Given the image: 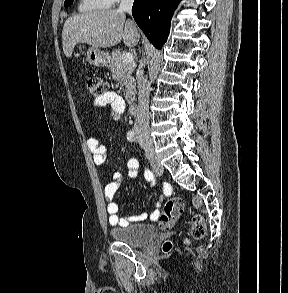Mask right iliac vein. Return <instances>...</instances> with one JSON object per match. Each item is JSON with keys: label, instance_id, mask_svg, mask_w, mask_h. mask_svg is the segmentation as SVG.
<instances>
[{"label": "right iliac vein", "instance_id": "1", "mask_svg": "<svg viewBox=\"0 0 288 293\" xmlns=\"http://www.w3.org/2000/svg\"><path fill=\"white\" fill-rule=\"evenodd\" d=\"M143 148L145 149L146 153L149 155L151 163L154 167V171L156 172V174L158 175H162L163 173V167L162 165L159 163L156 154L154 152V148H153V144L150 140L148 139H144L141 141Z\"/></svg>", "mask_w": 288, "mask_h": 293}]
</instances>
